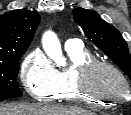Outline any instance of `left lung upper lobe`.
<instances>
[{"instance_id":"1","label":"left lung upper lobe","mask_w":131,"mask_h":115,"mask_svg":"<svg viewBox=\"0 0 131 115\" xmlns=\"http://www.w3.org/2000/svg\"><path fill=\"white\" fill-rule=\"evenodd\" d=\"M73 16L87 38L109 56L131 79V56L120 32L91 10L78 7Z\"/></svg>"}]
</instances>
